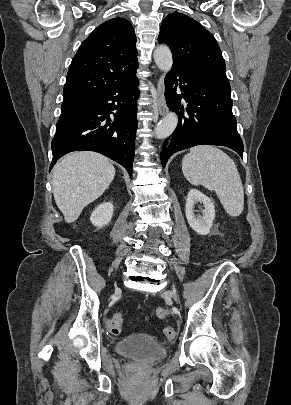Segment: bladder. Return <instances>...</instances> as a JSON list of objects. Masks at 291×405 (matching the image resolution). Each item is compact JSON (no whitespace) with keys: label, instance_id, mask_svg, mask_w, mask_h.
<instances>
[{"label":"bladder","instance_id":"31cf9c89","mask_svg":"<svg viewBox=\"0 0 291 405\" xmlns=\"http://www.w3.org/2000/svg\"><path fill=\"white\" fill-rule=\"evenodd\" d=\"M114 350L122 357L146 362L159 361L168 353L166 345L146 333H134L117 340Z\"/></svg>","mask_w":291,"mask_h":405}]
</instances>
